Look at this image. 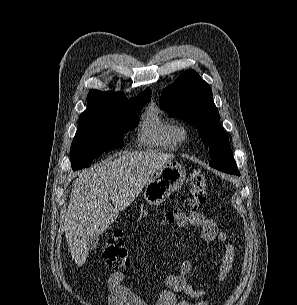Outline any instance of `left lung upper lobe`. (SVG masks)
I'll use <instances>...</instances> for the list:
<instances>
[{"mask_svg":"<svg viewBox=\"0 0 297 305\" xmlns=\"http://www.w3.org/2000/svg\"><path fill=\"white\" fill-rule=\"evenodd\" d=\"M160 104L171 117L187 120L198 130L201 140L209 147L211 167L240 175L229 139L220 125L211 87L194 70L185 71L164 89Z\"/></svg>","mask_w":297,"mask_h":305,"instance_id":"obj_1","label":"left lung upper lobe"}]
</instances>
